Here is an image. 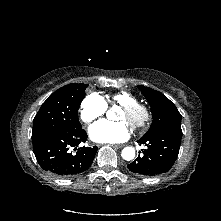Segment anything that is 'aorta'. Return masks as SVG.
<instances>
[{"instance_id":"aorta-1","label":"aorta","mask_w":221,"mask_h":221,"mask_svg":"<svg viewBox=\"0 0 221 221\" xmlns=\"http://www.w3.org/2000/svg\"><path fill=\"white\" fill-rule=\"evenodd\" d=\"M122 158L130 161L135 157V149L133 147H125L121 152Z\"/></svg>"}]
</instances>
